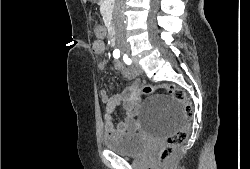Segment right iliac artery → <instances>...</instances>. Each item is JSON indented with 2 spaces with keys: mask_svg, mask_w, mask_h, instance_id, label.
Instances as JSON below:
<instances>
[{
  "mask_svg": "<svg viewBox=\"0 0 250 169\" xmlns=\"http://www.w3.org/2000/svg\"><path fill=\"white\" fill-rule=\"evenodd\" d=\"M113 56H114V58H119V56H120V51H119V50H115V51L113 52Z\"/></svg>",
  "mask_w": 250,
  "mask_h": 169,
  "instance_id": "right-iliac-artery-1",
  "label": "right iliac artery"
}]
</instances>
